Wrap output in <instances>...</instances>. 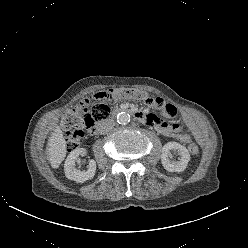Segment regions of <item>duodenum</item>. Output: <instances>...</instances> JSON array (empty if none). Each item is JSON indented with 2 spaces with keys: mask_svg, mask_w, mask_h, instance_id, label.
<instances>
[{
  "mask_svg": "<svg viewBox=\"0 0 248 248\" xmlns=\"http://www.w3.org/2000/svg\"><path fill=\"white\" fill-rule=\"evenodd\" d=\"M120 112H127V113H130L132 116H134L136 119L143 121V118L144 116H146L145 114H143L142 112L138 111V110H135V109H131V108H128V107H119V108H116L114 111H113V114L116 115ZM103 123H99L96 127V131H98L99 129H101Z\"/></svg>",
  "mask_w": 248,
  "mask_h": 248,
  "instance_id": "obj_1",
  "label": "duodenum"
}]
</instances>
